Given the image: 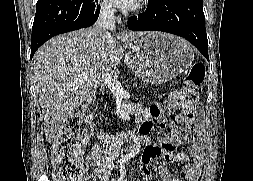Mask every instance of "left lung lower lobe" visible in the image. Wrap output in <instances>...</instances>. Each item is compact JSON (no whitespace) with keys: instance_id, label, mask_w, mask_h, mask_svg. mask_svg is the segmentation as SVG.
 Listing matches in <instances>:
<instances>
[{"instance_id":"obj_1","label":"left lung lower lobe","mask_w":253,"mask_h":181,"mask_svg":"<svg viewBox=\"0 0 253 181\" xmlns=\"http://www.w3.org/2000/svg\"><path fill=\"white\" fill-rule=\"evenodd\" d=\"M128 28L181 36L209 60L203 0H158L149 3L145 12L128 20Z\"/></svg>"}]
</instances>
